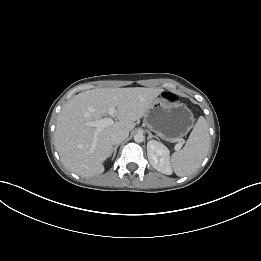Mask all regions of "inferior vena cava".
Returning a JSON list of instances; mask_svg holds the SVG:
<instances>
[{
  "label": "inferior vena cava",
  "instance_id": "1",
  "mask_svg": "<svg viewBox=\"0 0 261 261\" xmlns=\"http://www.w3.org/2000/svg\"><path fill=\"white\" fill-rule=\"evenodd\" d=\"M129 135L128 131L125 130H119V131H115L111 134V142L114 145H118L119 143H121L122 141H124Z\"/></svg>",
  "mask_w": 261,
  "mask_h": 261
}]
</instances>
